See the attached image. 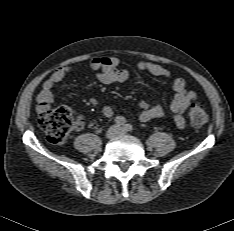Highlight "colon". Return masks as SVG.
<instances>
[{"label":"colon","instance_id":"colon-1","mask_svg":"<svg viewBox=\"0 0 234 231\" xmlns=\"http://www.w3.org/2000/svg\"><path fill=\"white\" fill-rule=\"evenodd\" d=\"M188 117L190 123L197 128L204 126L208 121L207 112L198 103L189 106ZM38 123L46 133L48 141L54 145L65 144L73 128L71 113L65 107L42 111Z\"/></svg>","mask_w":234,"mask_h":231}]
</instances>
